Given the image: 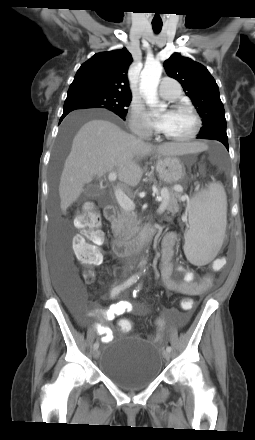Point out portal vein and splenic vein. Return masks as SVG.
<instances>
[{"label":"portal vein and splenic vein","mask_w":255,"mask_h":440,"mask_svg":"<svg viewBox=\"0 0 255 440\" xmlns=\"http://www.w3.org/2000/svg\"><path fill=\"white\" fill-rule=\"evenodd\" d=\"M108 179L111 182H114L117 179L116 172L112 171L108 175ZM115 197L117 199L118 204L120 207L126 211H132L135 208L134 202L118 187L114 190ZM162 196V195H161ZM165 196V195H163ZM160 200L162 197L159 198ZM165 210V205H162L158 209V213H162Z\"/></svg>","instance_id":"1"}]
</instances>
